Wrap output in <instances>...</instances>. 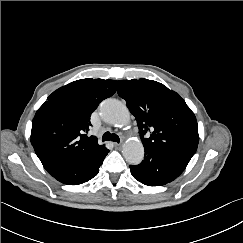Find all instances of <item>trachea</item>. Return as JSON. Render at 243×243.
I'll use <instances>...</instances> for the list:
<instances>
[{
    "label": "trachea",
    "mask_w": 243,
    "mask_h": 243,
    "mask_svg": "<svg viewBox=\"0 0 243 243\" xmlns=\"http://www.w3.org/2000/svg\"><path fill=\"white\" fill-rule=\"evenodd\" d=\"M110 140L117 143L120 142L118 135L110 132H105L102 136V141H110Z\"/></svg>",
    "instance_id": "1"
}]
</instances>
